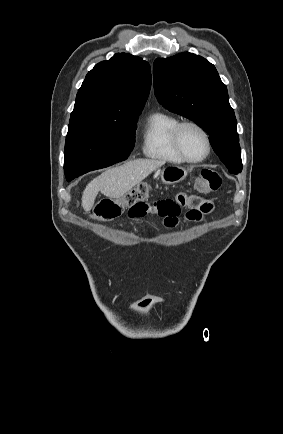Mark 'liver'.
Segmentation results:
<instances>
[{
	"instance_id": "obj_1",
	"label": "liver",
	"mask_w": 283,
	"mask_h": 434,
	"mask_svg": "<svg viewBox=\"0 0 283 434\" xmlns=\"http://www.w3.org/2000/svg\"><path fill=\"white\" fill-rule=\"evenodd\" d=\"M164 163L159 160L138 159L108 169L86 186L82 195L83 209L86 212L92 209L99 192L109 198H121Z\"/></svg>"
}]
</instances>
